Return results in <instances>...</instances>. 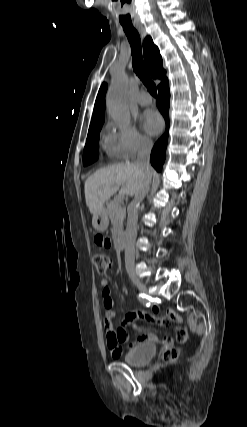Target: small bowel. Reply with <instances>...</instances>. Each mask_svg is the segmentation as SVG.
Returning <instances> with one entry per match:
<instances>
[{
    "label": "small bowel",
    "mask_w": 247,
    "mask_h": 427,
    "mask_svg": "<svg viewBox=\"0 0 247 427\" xmlns=\"http://www.w3.org/2000/svg\"><path fill=\"white\" fill-rule=\"evenodd\" d=\"M94 244L102 249L109 250L112 247V241L108 237L100 234L95 237ZM102 296H103V307H104V318L103 325L106 332L107 345L114 357H119L122 352V344L128 343L129 337L127 333V327L132 326L134 322L138 319H144L149 322L158 323L161 325L169 326L170 324H175L176 336L179 342H185L188 339V331L186 328L181 326L182 318L180 315L175 313L173 310H166L163 316H159V308L153 307L152 313L144 311L130 312L121 322L120 326L115 330L113 327V319L115 317V312L113 310L114 301L111 296V291L109 288V281L107 279L102 280ZM158 340V337L152 332H142L138 341L140 343L145 342H155ZM163 344L170 345L172 344V338L165 336L162 340ZM133 344H129L131 348Z\"/></svg>",
    "instance_id": "obj_1"
}]
</instances>
